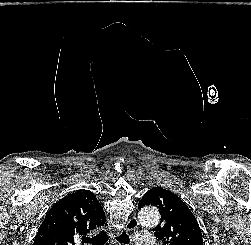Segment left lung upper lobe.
<instances>
[{
  "label": "left lung upper lobe",
  "mask_w": 251,
  "mask_h": 245,
  "mask_svg": "<svg viewBox=\"0 0 251 245\" xmlns=\"http://www.w3.org/2000/svg\"><path fill=\"white\" fill-rule=\"evenodd\" d=\"M152 205L160 210L161 225L154 228L163 245H203L199 224L188 206L169 190L154 187L142 197L138 208Z\"/></svg>",
  "instance_id": "obj_1"
}]
</instances>
